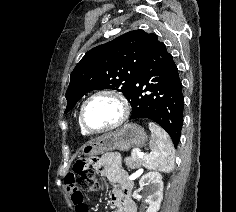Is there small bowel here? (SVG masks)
<instances>
[{"label": "small bowel", "instance_id": "1", "mask_svg": "<svg viewBox=\"0 0 236 212\" xmlns=\"http://www.w3.org/2000/svg\"><path fill=\"white\" fill-rule=\"evenodd\" d=\"M99 163L101 173L118 185V189L110 197V204L115 212H136V204L130 198L132 183L120 161L113 154H105L100 158ZM74 173H76V170H74ZM74 173L67 176L66 189L70 194L75 212H88L84 196L75 186Z\"/></svg>", "mask_w": 236, "mask_h": 212}]
</instances>
